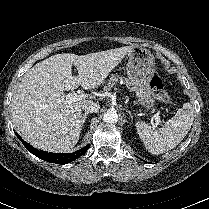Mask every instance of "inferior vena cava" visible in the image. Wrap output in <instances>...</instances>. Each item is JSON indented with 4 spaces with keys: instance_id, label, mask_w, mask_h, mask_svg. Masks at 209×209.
Returning <instances> with one entry per match:
<instances>
[{
    "instance_id": "obj_1",
    "label": "inferior vena cava",
    "mask_w": 209,
    "mask_h": 209,
    "mask_svg": "<svg viewBox=\"0 0 209 209\" xmlns=\"http://www.w3.org/2000/svg\"><path fill=\"white\" fill-rule=\"evenodd\" d=\"M82 109L87 113H97L100 109V105L88 101L87 103L83 104Z\"/></svg>"
}]
</instances>
